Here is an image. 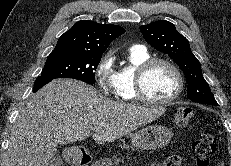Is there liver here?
<instances>
[{
  "mask_svg": "<svg viewBox=\"0 0 231 166\" xmlns=\"http://www.w3.org/2000/svg\"><path fill=\"white\" fill-rule=\"evenodd\" d=\"M165 111L115 102L83 82L56 79L21 108L9 138L8 166H48L58 144L82 141L92 131L96 143L112 142Z\"/></svg>",
  "mask_w": 231,
  "mask_h": 166,
  "instance_id": "obj_1",
  "label": "liver"
}]
</instances>
